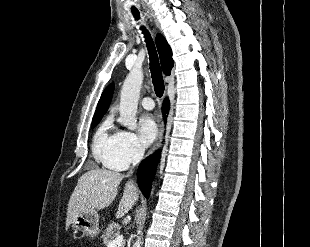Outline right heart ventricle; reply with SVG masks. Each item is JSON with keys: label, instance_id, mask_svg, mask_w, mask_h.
I'll return each mask as SVG.
<instances>
[{"label": "right heart ventricle", "instance_id": "1", "mask_svg": "<svg viewBox=\"0 0 310 247\" xmlns=\"http://www.w3.org/2000/svg\"><path fill=\"white\" fill-rule=\"evenodd\" d=\"M116 137L117 132L113 126L112 118L107 117L96 130L92 142V151L95 159L110 169H116L109 164Z\"/></svg>", "mask_w": 310, "mask_h": 247}]
</instances>
